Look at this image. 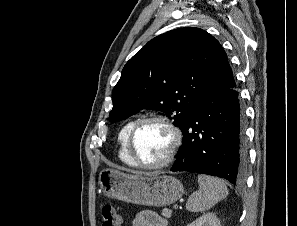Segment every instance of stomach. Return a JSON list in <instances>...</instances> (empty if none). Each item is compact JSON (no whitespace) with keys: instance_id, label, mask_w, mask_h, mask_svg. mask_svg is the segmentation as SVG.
<instances>
[{"instance_id":"obj_1","label":"stomach","mask_w":297,"mask_h":226,"mask_svg":"<svg viewBox=\"0 0 297 226\" xmlns=\"http://www.w3.org/2000/svg\"><path fill=\"white\" fill-rule=\"evenodd\" d=\"M99 184L107 197L145 206H167L184 194L183 184L169 175H128L104 169Z\"/></svg>"}]
</instances>
